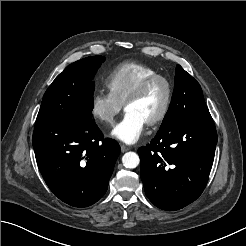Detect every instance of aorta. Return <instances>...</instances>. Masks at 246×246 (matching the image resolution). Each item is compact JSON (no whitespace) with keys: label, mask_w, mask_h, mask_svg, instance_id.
Here are the masks:
<instances>
[{"label":"aorta","mask_w":246,"mask_h":246,"mask_svg":"<svg viewBox=\"0 0 246 246\" xmlns=\"http://www.w3.org/2000/svg\"><path fill=\"white\" fill-rule=\"evenodd\" d=\"M139 162V156L135 152H127L122 157V163L126 168H136Z\"/></svg>","instance_id":"1"}]
</instances>
